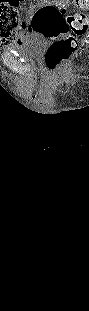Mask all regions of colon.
<instances>
[{
  "instance_id": "1",
  "label": "colon",
  "mask_w": 89,
  "mask_h": 311,
  "mask_svg": "<svg viewBox=\"0 0 89 311\" xmlns=\"http://www.w3.org/2000/svg\"><path fill=\"white\" fill-rule=\"evenodd\" d=\"M69 0H51L36 10L32 17L33 32L52 41L46 55L45 63L50 71H57L79 47L78 37L83 35L88 26L87 14L89 0H71L80 11L66 14ZM0 27L6 25L12 33L21 24L19 13L14 8H2ZM11 39V34H8Z\"/></svg>"
}]
</instances>
